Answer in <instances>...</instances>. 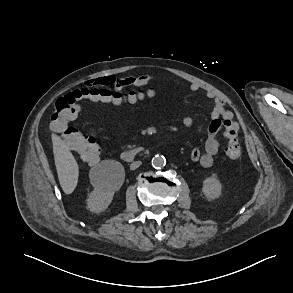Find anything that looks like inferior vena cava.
I'll use <instances>...</instances> for the list:
<instances>
[{
	"instance_id": "1",
	"label": "inferior vena cava",
	"mask_w": 293,
	"mask_h": 293,
	"mask_svg": "<svg viewBox=\"0 0 293 293\" xmlns=\"http://www.w3.org/2000/svg\"><path fill=\"white\" fill-rule=\"evenodd\" d=\"M141 165V161H135L130 165L131 170L137 169Z\"/></svg>"
}]
</instances>
